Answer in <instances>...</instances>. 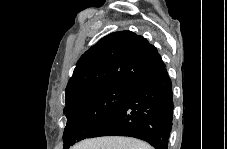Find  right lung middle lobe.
Returning <instances> with one entry per match:
<instances>
[{"mask_svg": "<svg viewBox=\"0 0 227 149\" xmlns=\"http://www.w3.org/2000/svg\"><path fill=\"white\" fill-rule=\"evenodd\" d=\"M132 89L122 84L103 86L65 107L67 125L63 133V149L87 138L126 101Z\"/></svg>", "mask_w": 227, "mask_h": 149, "instance_id": "obj_1", "label": "right lung middle lobe"}]
</instances>
